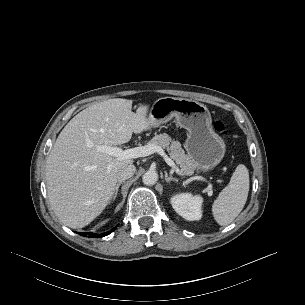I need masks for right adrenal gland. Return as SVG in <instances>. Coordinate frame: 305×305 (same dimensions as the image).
<instances>
[{
	"instance_id": "obj_1",
	"label": "right adrenal gland",
	"mask_w": 305,
	"mask_h": 305,
	"mask_svg": "<svg viewBox=\"0 0 305 305\" xmlns=\"http://www.w3.org/2000/svg\"><path fill=\"white\" fill-rule=\"evenodd\" d=\"M123 182L122 181H119L116 186H115V189H114V192H113V195H112V198L111 200L114 201L117 197V194H118V190H119V187L121 186Z\"/></svg>"
}]
</instances>
